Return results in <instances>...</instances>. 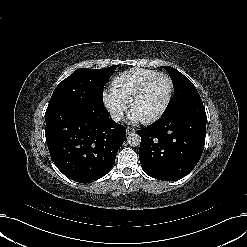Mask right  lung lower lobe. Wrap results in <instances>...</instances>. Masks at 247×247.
Here are the masks:
<instances>
[{
	"mask_svg": "<svg viewBox=\"0 0 247 247\" xmlns=\"http://www.w3.org/2000/svg\"><path fill=\"white\" fill-rule=\"evenodd\" d=\"M51 159L68 178L90 183L106 175L126 139V128L103 104H62L45 113Z\"/></svg>",
	"mask_w": 247,
	"mask_h": 247,
	"instance_id": "1",
	"label": "right lung lower lobe"
}]
</instances>
